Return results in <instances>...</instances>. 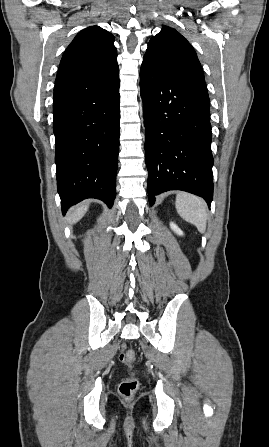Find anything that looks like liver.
I'll use <instances>...</instances> for the list:
<instances>
[{"instance_id": "1", "label": "liver", "mask_w": 269, "mask_h": 447, "mask_svg": "<svg viewBox=\"0 0 269 447\" xmlns=\"http://www.w3.org/2000/svg\"><path fill=\"white\" fill-rule=\"evenodd\" d=\"M88 208H89L88 204H83V206H77L75 210L69 212L67 218L68 222H70V224H76V222H79V220H81V218L85 216Z\"/></svg>"}]
</instances>
